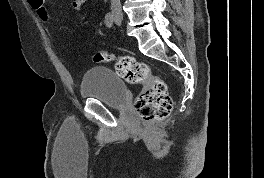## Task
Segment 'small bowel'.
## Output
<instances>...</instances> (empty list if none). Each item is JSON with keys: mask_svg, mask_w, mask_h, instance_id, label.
<instances>
[{"mask_svg": "<svg viewBox=\"0 0 264 178\" xmlns=\"http://www.w3.org/2000/svg\"><path fill=\"white\" fill-rule=\"evenodd\" d=\"M88 2V0H72L71 9L74 11H81L83 6Z\"/></svg>", "mask_w": 264, "mask_h": 178, "instance_id": "c3829d8e", "label": "small bowel"}]
</instances>
